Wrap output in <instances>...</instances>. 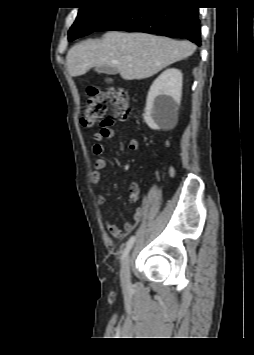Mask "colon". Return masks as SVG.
<instances>
[{"mask_svg": "<svg viewBox=\"0 0 254 355\" xmlns=\"http://www.w3.org/2000/svg\"><path fill=\"white\" fill-rule=\"evenodd\" d=\"M88 95L89 99L81 117V123L84 127L90 128L97 124H103L107 101L113 106L117 119L124 121L128 118L130 97L127 91L120 89L109 90L104 93L96 87H89Z\"/></svg>", "mask_w": 254, "mask_h": 355, "instance_id": "obj_1", "label": "colon"}]
</instances>
